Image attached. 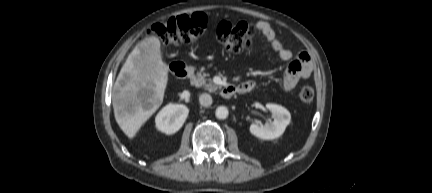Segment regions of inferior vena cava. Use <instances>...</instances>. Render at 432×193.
Wrapping results in <instances>:
<instances>
[{"label":"inferior vena cava","mask_w":432,"mask_h":193,"mask_svg":"<svg viewBox=\"0 0 432 193\" xmlns=\"http://www.w3.org/2000/svg\"><path fill=\"white\" fill-rule=\"evenodd\" d=\"M199 102L203 107H208L212 104V97L207 93H203L199 96Z\"/></svg>","instance_id":"inferior-vena-cava-1"}]
</instances>
